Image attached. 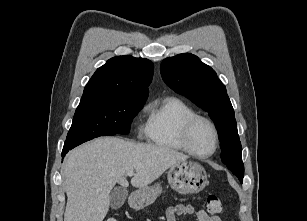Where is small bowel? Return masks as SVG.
Segmentation results:
<instances>
[{"instance_id": "c3829d8e", "label": "small bowel", "mask_w": 307, "mask_h": 221, "mask_svg": "<svg viewBox=\"0 0 307 221\" xmlns=\"http://www.w3.org/2000/svg\"><path fill=\"white\" fill-rule=\"evenodd\" d=\"M195 215L198 221H222L217 215L208 214L205 210H196L191 205L176 204L166 211L167 221H176L177 216Z\"/></svg>"}]
</instances>
